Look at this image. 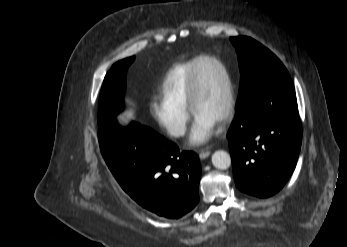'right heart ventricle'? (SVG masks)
Segmentation results:
<instances>
[{
	"instance_id": "1",
	"label": "right heart ventricle",
	"mask_w": 347,
	"mask_h": 247,
	"mask_svg": "<svg viewBox=\"0 0 347 247\" xmlns=\"http://www.w3.org/2000/svg\"><path fill=\"white\" fill-rule=\"evenodd\" d=\"M200 58L174 65L166 74L160 89L163 100L188 107V87L192 68Z\"/></svg>"
}]
</instances>
